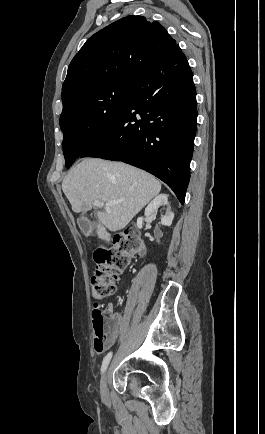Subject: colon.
I'll return each mask as SVG.
<instances>
[{
    "instance_id": "5ec220e1",
    "label": "colon",
    "mask_w": 265,
    "mask_h": 434,
    "mask_svg": "<svg viewBox=\"0 0 265 434\" xmlns=\"http://www.w3.org/2000/svg\"><path fill=\"white\" fill-rule=\"evenodd\" d=\"M128 263V257L117 251L103 249L94 256L95 274L90 279L93 300L102 301L113 295L117 288V281ZM93 307V340L95 347H106V315L100 311V303Z\"/></svg>"
}]
</instances>
